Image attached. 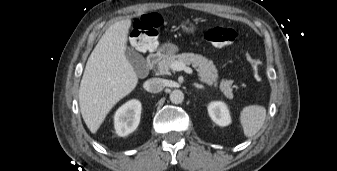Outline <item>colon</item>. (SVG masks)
Here are the masks:
<instances>
[{
  "label": "colon",
  "instance_id": "obj_1",
  "mask_svg": "<svg viewBox=\"0 0 337 171\" xmlns=\"http://www.w3.org/2000/svg\"><path fill=\"white\" fill-rule=\"evenodd\" d=\"M161 18L155 14H147L138 17L132 27L133 43L138 49H152L156 45L158 28ZM203 37L215 46H227L237 38V32L226 27H208L203 31ZM248 61L251 65L253 78L256 82L262 80V63L258 57L248 53Z\"/></svg>",
  "mask_w": 337,
  "mask_h": 171
}]
</instances>
